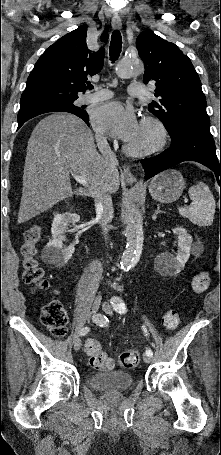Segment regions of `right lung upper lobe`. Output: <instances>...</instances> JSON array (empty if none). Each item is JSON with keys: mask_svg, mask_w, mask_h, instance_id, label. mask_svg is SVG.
Segmentation results:
<instances>
[{"mask_svg": "<svg viewBox=\"0 0 221 455\" xmlns=\"http://www.w3.org/2000/svg\"><path fill=\"white\" fill-rule=\"evenodd\" d=\"M87 28L79 27L51 45L30 73L21 96V110L48 107L57 102L78 98L85 90L87 76L99 73L105 50L92 52L86 44ZM103 41L108 34L101 35Z\"/></svg>", "mask_w": 221, "mask_h": 455, "instance_id": "right-lung-upper-lobe-1", "label": "right lung upper lobe"}]
</instances>
